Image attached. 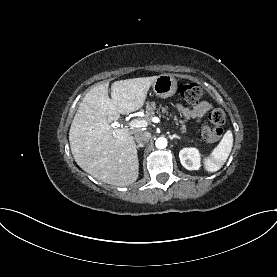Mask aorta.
I'll return each instance as SVG.
<instances>
[{"label": "aorta", "mask_w": 277, "mask_h": 277, "mask_svg": "<svg viewBox=\"0 0 277 277\" xmlns=\"http://www.w3.org/2000/svg\"><path fill=\"white\" fill-rule=\"evenodd\" d=\"M155 145L158 149H164L167 146V140L164 137H160L156 140Z\"/></svg>", "instance_id": "1"}]
</instances>
